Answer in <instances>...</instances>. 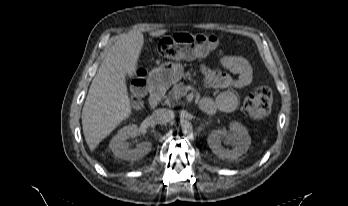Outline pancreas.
I'll return each instance as SVG.
<instances>
[{
  "mask_svg": "<svg viewBox=\"0 0 348 206\" xmlns=\"http://www.w3.org/2000/svg\"><path fill=\"white\" fill-rule=\"evenodd\" d=\"M185 92V86L181 82L179 84H175L171 91L168 93V97H166L165 103L167 105H178L180 103V97L183 96Z\"/></svg>",
  "mask_w": 348,
  "mask_h": 206,
  "instance_id": "pancreas-1",
  "label": "pancreas"
}]
</instances>
